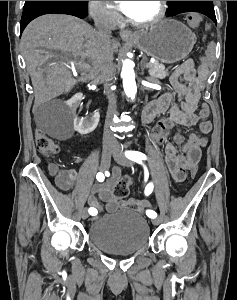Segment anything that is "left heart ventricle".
<instances>
[{"mask_svg": "<svg viewBox=\"0 0 237 300\" xmlns=\"http://www.w3.org/2000/svg\"><path fill=\"white\" fill-rule=\"evenodd\" d=\"M158 11V1H136L128 17L135 21L144 22L152 19Z\"/></svg>", "mask_w": 237, "mask_h": 300, "instance_id": "b2bd125f", "label": "left heart ventricle"}]
</instances>
